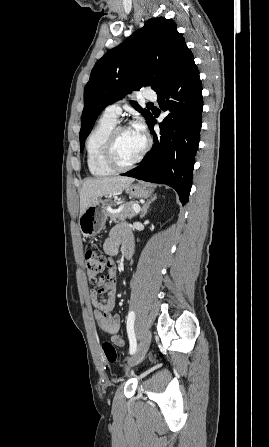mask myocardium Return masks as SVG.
<instances>
[{"label": "myocardium", "instance_id": "obj_1", "mask_svg": "<svg viewBox=\"0 0 269 447\" xmlns=\"http://www.w3.org/2000/svg\"><path fill=\"white\" fill-rule=\"evenodd\" d=\"M131 127L127 124L122 125H115V127L110 131L106 143H105V152H104V159L106 163L112 167L114 170L122 171V170H128L133 168L135 165L139 164L147 155V153L150 151L152 146V140L149 135L145 134L146 136V145L143 149V151L140 153V155L131 163L123 164L121 163L117 158L116 153V140L118 134L126 129Z\"/></svg>", "mask_w": 269, "mask_h": 447}]
</instances>
